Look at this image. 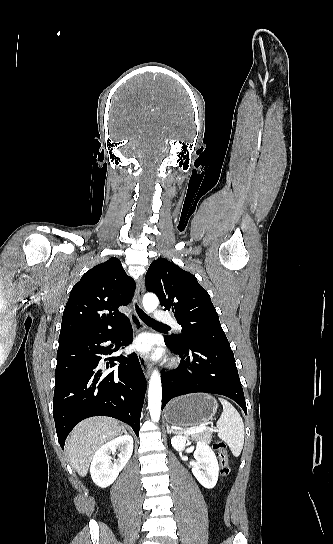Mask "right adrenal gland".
<instances>
[{"label":"right adrenal gland","instance_id":"2a0ac1e0","mask_svg":"<svg viewBox=\"0 0 333 544\" xmlns=\"http://www.w3.org/2000/svg\"><path fill=\"white\" fill-rule=\"evenodd\" d=\"M122 431H123L124 433H127V431L125 430V428H122Z\"/></svg>","mask_w":333,"mask_h":544}]
</instances>
